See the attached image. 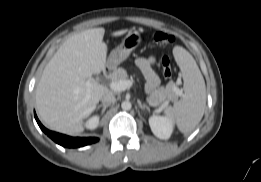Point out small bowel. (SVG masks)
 <instances>
[{"mask_svg": "<svg viewBox=\"0 0 261 182\" xmlns=\"http://www.w3.org/2000/svg\"><path fill=\"white\" fill-rule=\"evenodd\" d=\"M156 62L154 56L139 57L136 59V65L144 75L146 79V92L153 94L159 86V78L153 70V66Z\"/></svg>", "mask_w": 261, "mask_h": 182, "instance_id": "small-bowel-1", "label": "small bowel"}]
</instances>
